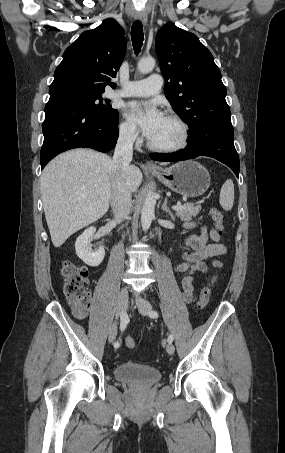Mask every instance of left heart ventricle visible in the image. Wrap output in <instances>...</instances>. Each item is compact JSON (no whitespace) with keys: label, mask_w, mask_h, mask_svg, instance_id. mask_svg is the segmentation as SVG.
Masks as SVG:
<instances>
[{"label":"left heart ventricle","mask_w":285,"mask_h":453,"mask_svg":"<svg viewBox=\"0 0 285 453\" xmlns=\"http://www.w3.org/2000/svg\"><path fill=\"white\" fill-rule=\"evenodd\" d=\"M181 137L182 132L179 125L173 120L164 116L158 129L149 139L156 145L172 146L178 144L181 140Z\"/></svg>","instance_id":"left-heart-ventricle-1"}]
</instances>
